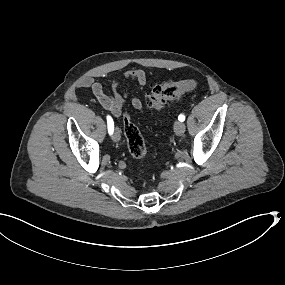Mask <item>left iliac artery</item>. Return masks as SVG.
<instances>
[{
    "mask_svg": "<svg viewBox=\"0 0 285 285\" xmlns=\"http://www.w3.org/2000/svg\"><path fill=\"white\" fill-rule=\"evenodd\" d=\"M178 120L181 121V122H183V121L185 120V116H184L183 114H180V115L178 116Z\"/></svg>",
    "mask_w": 285,
    "mask_h": 285,
    "instance_id": "left-iliac-artery-1",
    "label": "left iliac artery"
}]
</instances>
